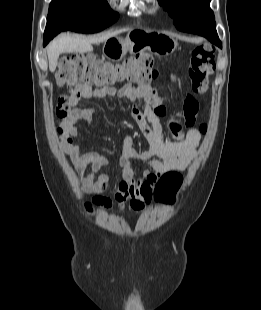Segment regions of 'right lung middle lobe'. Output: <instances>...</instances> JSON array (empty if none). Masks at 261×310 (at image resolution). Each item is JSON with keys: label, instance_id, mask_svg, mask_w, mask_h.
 Segmentation results:
<instances>
[{"label": "right lung middle lobe", "instance_id": "obj_1", "mask_svg": "<svg viewBox=\"0 0 261 310\" xmlns=\"http://www.w3.org/2000/svg\"><path fill=\"white\" fill-rule=\"evenodd\" d=\"M118 17L106 0H52L45 32L61 29L95 33L113 24Z\"/></svg>", "mask_w": 261, "mask_h": 310}]
</instances>
